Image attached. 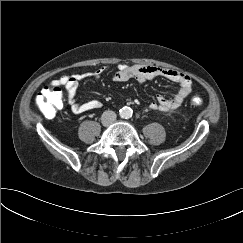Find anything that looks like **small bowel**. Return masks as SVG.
<instances>
[{"label":"small bowel","instance_id":"small-bowel-1","mask_svg":"<svg viewBox=\"0 0 243 243\" xmlns=\"http://www.w3.org/2000/svg\"><path fill=\"white\" fill-rule=\"evenodd\" d=\"M101 74L102 70L99 69L93 72L63 75L52 82V87L63 86L66 89L68 104L72 112L75 114L100 109L103 104L98 99L78 103L76 100V90L79 82L83 79H99ZM157 77H162L177 83L179 89L170 98L165 97L164 95H157L156 99L150 103V108L153 110L170 111L177 109L192 92V81L187 74L174 69L162 68L154 65H129L119 63L117 65V71L113 76V81L126 82L130 79H136L143 83Z\"/></svg>","mask_w":243,"mask_h":243}]
</instances>
